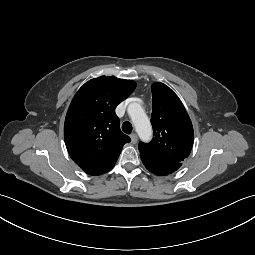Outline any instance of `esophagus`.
<instances>
[{
    "mask_svg": "<svg viewBox=\"0 0 255 255\" xmlns=\"http://www.w3.org/2000/svg\"><path fill=\"white\" fill-rule=\"evenodd\" d=\"M130 138H131V142H132L133 144H136V143H137V141H138L137 134L132 133V134L130 135Z\"/></svg>",
    "mask_w": 255,
    "mask_h": 255,
    "instance_id": "1",
    "label": "esophagus"
}]
</instances>
